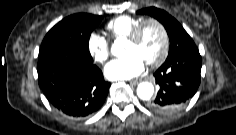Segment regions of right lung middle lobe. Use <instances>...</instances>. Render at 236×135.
<instances>
[{
    "label": "right lung middle lobe",
    "instance_id": "obj_1",
    "mask_svg": "<svg viewBox=\"0 0 236 135\" xmlns=\"http://www.w3.org/2000/svg\"><path fill=\"white\" fill-rule=\"evenodd\" d=\"M101 20V16L85 13L74 14L61 20L43 39L39 61L70 51L81 52L92 58L89 52V38Z\"/></svg>",
    "mask_w": 236,
    "mask_h": 135
}]
</instances>
